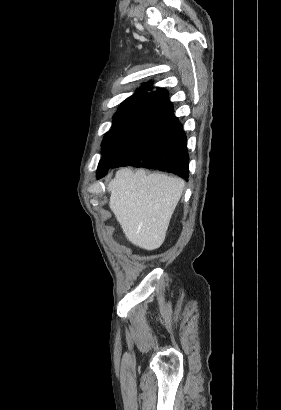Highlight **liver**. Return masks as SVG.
Returning <instances> with one entry per match:
<instances>
[{"label":"liver","mask_w":281,"mask_h":410,"mask_svg":"<svg viewBox=\"0 0 281 410\" xmlns=\"http://www.w3.org/2000/svg\"><path fill=\"white\" fill-rule=\"evenodd\" d=\"M184 181L164 174L122 168L109 183V206L126 238L146 250L164 242Z\"/></svg>","instance_id":"6515ba94"}]
</instances>
